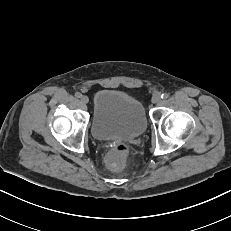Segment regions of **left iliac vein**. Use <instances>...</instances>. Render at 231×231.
<instances>
[{
    "mask_svg": "<svg viewBox=\"0 0 231 231\" xmlns=\"http://www.w3.org/2000/svg\"><path fill=\"white\" fill-rule=\"evenodd\" d=\"M152 103L156 104L161 101V95L160 94H154L151 99Z\"/></svg>",
    "mask_w": 231,
    "mask_h": 231,
    "instance_id": "4c4485c4",
    "label": "left iliac vein"
}]
</instances>
